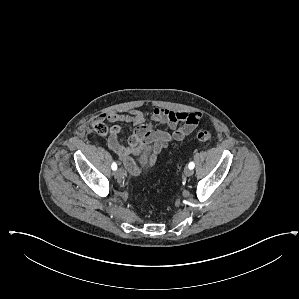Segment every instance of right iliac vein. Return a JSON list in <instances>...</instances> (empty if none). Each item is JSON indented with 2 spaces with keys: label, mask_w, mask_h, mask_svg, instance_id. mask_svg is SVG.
<instances>
[{
  "label": "right iliac vein",
  "mask_w": 299,
  "mask_h": 299,
  "mask_svg": "<svg viewBox=\"0 0 299 299\" xmlns=\"http://www.w3.org/2000/svg\"><path fill=\"white\" fill-rule=\"evenodd\" d=\"M125 173L124 170L119 168L118 170L115 171V177L117 179H122L124 177Z\"/></svg>",
  "instance_id": "right-iliac-vein-1"
}]
</instances>
